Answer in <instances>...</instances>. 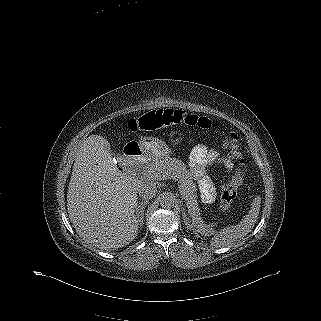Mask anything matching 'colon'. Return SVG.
I'll return each instance as SVG.
<instances>
[{
  "label": "colon",
  "mask_w": 321,
  "mask_h": 321,
  "mask_svg": "<svg viewBox=\"0 0 321 321\" xmlns=\"http://www.w3.org/2000/svg\"><path fill=\"white\" fill-rule=\"evenodd\" d=\"M196 125L204 129L215 128V123L207 117L180 110H158L130 120L128 127L131 131H157L174 125ZM225 146L229 155L238 163L239 167L230 182L224 186L221 194V206L228 209L234 201L237 190L242 183L243 159L236 144V134L230 129L223 130Z\"/></svg>",
  "instance_id": "5ec220e1"
}]
</instances>
